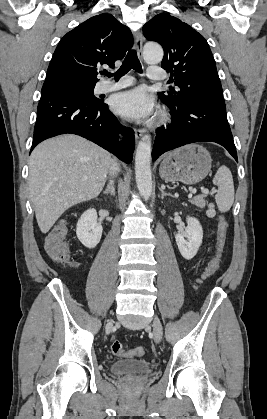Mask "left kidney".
Here are the masks:
<instances>
[{
    "label": "left kidney",
    "instance_id": "obj_1",
    "mask_svg": "<svg viewBox=\"0 0 267 419\" xmlns=\"http://www.w3.org/2000/svg\"><path fill=\"white\" fill-rule=\"evenodd\" d=\"M187 227L184 232L175 236L178 249L186 260H191L198 252L203 239V229L194 217L186 218Z\"/></svg>",
    "mask_w": 267,
    "mask_h": 419
}]
</instances>
